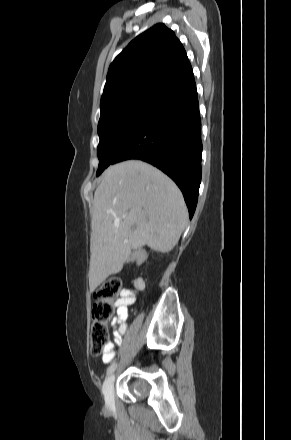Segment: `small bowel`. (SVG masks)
I'll use <instances>...</instances> for the list:
<instances>
[{
  "label": "small bowel",
  "mask_w": 291,
  "mask_h": 440,
  "mask_svg": "<svg viewBox=\"0 0 291 440\" xmlns=\"http://www.w3.org/2000/svg\"><path fill=\"white\" fill-rule=\"evenodd\" d=\"M134 301V296L130 292H124L116 301L117 312L113 318L110 328L113 332L114 341L110 342L103 355V361L108 363L115 356V345L121 344L128 330L127 319L129 316L128 306Z\"/></svg>",
  "instance_id": "c3829d8e"
}]
</instances>
